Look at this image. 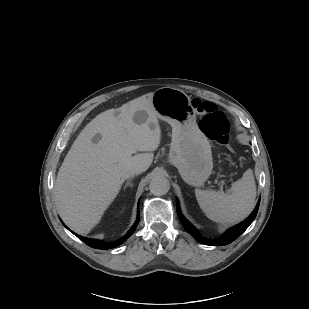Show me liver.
<instances>
[{
  "instance_id": "liver-1",
  "label": "liver",
  "mask_w": 309,
  "mask_h": 309,
  "mask_svg": "<svg viewBox=\"0 0 309 309\" xmlns=\"http://www.w3.org/2000/svg\"><path fill=\"white\" fill-rule=\"evenodd\" d=\"M152 96L145 94L97 115L67 153L55 182V200L63 220L75 232L87 234L100 222L127 170L142 167L146 171L152 164L161 141ZM140 111L147 118L138 124L134 117ZM98 135L100 139L94 141Z\"/></svg>"
}]
</instances>
